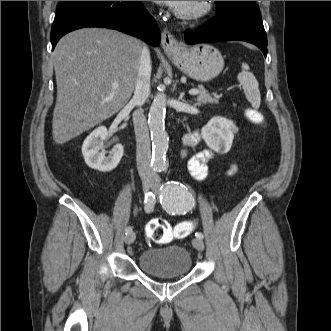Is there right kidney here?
I'll return each mask as SVG.
<instances>
[{
  "mask_svg": "<svg viewBox=\"0 0 331 331\" xmlns=\"http://www.w3.org/2000/svg\"><path fill=\"white\" fill-rule=\"evenodd\" d=\"M108 137L109 133L107 128L105 126H100L91 132L84 140L82 154L86 164L90 168L101 172H110L119 164L123 156V146L117 144L111 151L106 152L104 149V142Z\"/></svg>",
  "mask_w": 331,
  "mask_h": 331,
  "instance_id": "1",
  "label": "right kidney"
}]
</instances>
